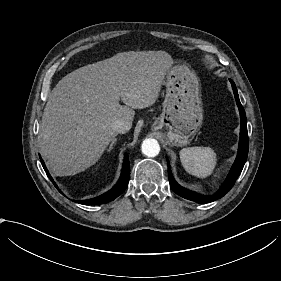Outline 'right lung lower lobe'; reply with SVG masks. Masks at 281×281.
I'll return each instance as SVG.
<instances>
[{
	"label": "right lung lower lobe",
	"instance_id": "98d812e1",
	"mask_svg": "<svg viewBox=\"0 0 281 281\" xmlns=\"http://www.w3.org/2000/svg\"><path fill=\"white\" fill-rule=\"evenodd\" d=\"M42 166L47 174V176L49 177V179L53 182V184L55 185V187L58 189L57 185L55 184V182L53 181L52 177L50 176L42 158L40 157ZM129 177H130V164H129V160H128V155L127 153L125 154L124 157V163H123V167H122V173L121 176L117 182V184L108 192H106L105 194L95 197L93 199H89V200H75L76 203L79 204H83V205H100L103 203H108L110 201H113L115 198H117L127 187L128 182H129ZM59 190V189H58ZM60 193H62L59 190Z\"/></svg>",
	"mask_w": 281,
	"mask_h": 281
}]
</instances>
